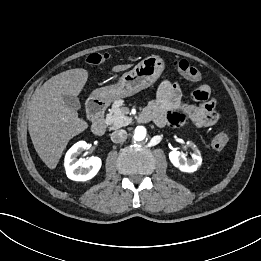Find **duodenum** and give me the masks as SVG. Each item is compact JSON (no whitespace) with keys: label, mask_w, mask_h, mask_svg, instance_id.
<instances>
[{"label":"duodenum","mask_w":261,"mask_h":261,"mask_svg":"<svg viewBox=\"0 0 261 261\" xmlns=\"http://www.w3.org/2000/svg\"><path fill=\"white\" fill-rule=\"evenodd\" d=\"M106 107L107 101L103 97H95L88 102L87 113L92 121V132L96 136H102L106 131V123L104 119ZM140 118L143 120V113L140 115Z\"/></svg>","instance_id":"410a0bca"}]
</instances>
